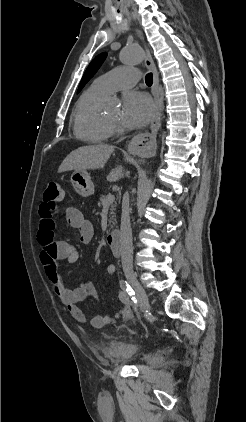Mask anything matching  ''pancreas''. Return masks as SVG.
Returning <instances> with one entry per match:
<instances>
[{
	"label": "pancreas",
	"instance_id": "1",
	"mask_svg": "<svg viewBox=\"0 0 246 422\" xmlns=\"http://www.w3.org/2000/svg\"><path fill=\"white\" fill-rule=\"evenodd\" d=\"M108 196H109V194L108 195H104V194L101 195L100 201H99V206L105 205V202H106ZM115 209H116V204L111 203L110 204V215H111V217L109 219V225H110L111 228L113 227L112 224H114V221H115V213H114Z\"/></svg>",
	"mask_w": 246,
	"mask_h": 422
}]
</instances>
